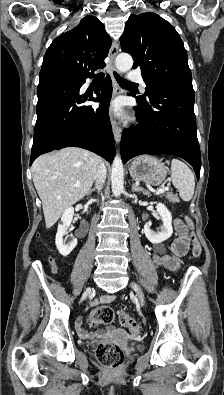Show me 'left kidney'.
I'll use <instances>...</instances> for the list:
<instances>
[{
    "instance_id": "obj_1",
    "label": "left kidney",
    "mask_w": 224,
    "mask_h": 395,
    "mask_svg": "<svg viewBox=\"0 0 224 395\" xmlns=\"http://www.w3.org/2000/svg\"><path fill=\"white\" fill-rule=\"evenodd\" d=\"M156 209H157V214L160 216L163 222L161 231L160 232L152 231L148 224H145L143 229L145 236L152 244L162 243L163 241L167 240L173 233L172 215L170 211L162 203L157 204Z\"/></svg>"
}]
</instances>
